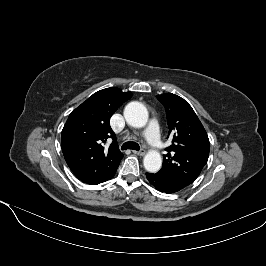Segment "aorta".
Instances as JSON below:
<instances>
[{
	"label": "aorta",
	"instance_id": "obj_1",
	"mask_svg": "<svg viewBox=\"0 0 266 266\" xmlns=\"http://www.w3.org/2000/svg\"><path fill=\"white\" fill-rule=\"evenodd\" d=\"M126 121L133 127L142 128L148 122L147 108L140 102H130L124 110ZM143 164L148 172L155 173L162 166V158L159 152L150 150L143 159Z\"/></svg>",
	"mask_w": 266,
	"mask_h": 266
}]
</instances>
